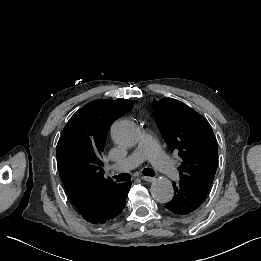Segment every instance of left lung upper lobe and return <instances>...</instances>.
Wrapping results in <instances>:
<instances>
[{
  "label": "left lung upper lobe",
  "instance_id": "5c2ea615",
  "mask_svg": "<svg viewBox=\"0 0 261 261\" xmlns=\"http://www.w3.org/2000/svg\"><path fill=\"white\" fill-rule=\"evenodd\" d=\"M152 104L162 136L181 157L180 181L208 192L218 166L217 141L210 124L181 101L161 99Z\"/></svg>",
  "mask_w": 261,
  "mask_h": 261
}]
</instances>
